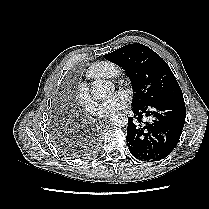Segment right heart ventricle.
<instances>
[{"label":"right heart ventricle","mask_w":209,"mask_h":209,"mask_svg":"<svg viewBox=\"0 0 209 209\" xmlns=\"http://www.w3.org/2000/svg\"><path fill=\"white\" fill-rule=\"evenodd\" d=\"M118 73L116 64L110 61H98L93 63L86 71V76L90 79H111Z\"/></svg>","instance_id":"e07e8e85"}]
</instances>
